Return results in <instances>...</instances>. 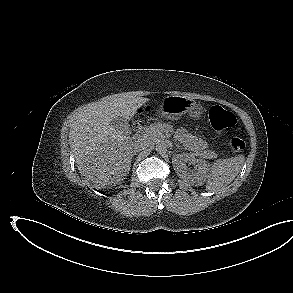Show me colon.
Segmentation results:
<instances>
[{
  "mask_svg": "<svg viewBox=\"0 0 293 293\" xmlns=\"http://www.w3.org/2000/svg\"><path fill=\"white\" fill-rule=\"evenodd\" d=\"M209 119L212 127L220 133L232 128L237 122L236 116L232 112L218 105L210 109ZM245 146V142L237 137L232 138L229 143V148L232 153L241 152Z\"/></svg>",
  "mask_w": 293,
  "mask_h": 293,
  "instance_id": "colon-1",
  "label": "colon"
}]
</instances>
